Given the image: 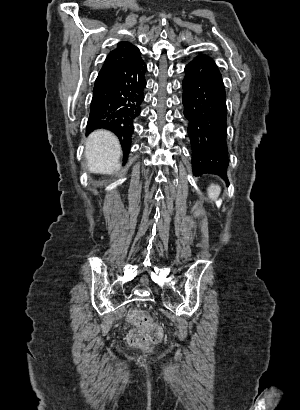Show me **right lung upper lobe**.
<instances>
[{
	"instance_id": "obj_1",
	"label": "right lung upper lobe",
	"mask_w": 300,
	"mask_h": 410,
	"mask_svg": "<svg viewBox=\"0 0 300 410\" xmlns=\"http://www.w3.org/2000/svg\"><path fill=\"white\" fill-rule=\"evenodd\" d=\"M140 58V51L137 47L128 42H119L117 47L108 54L102 69H107L113 65Z\"/></svg>"
}]
</instances>
